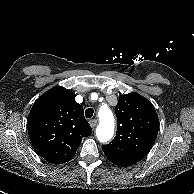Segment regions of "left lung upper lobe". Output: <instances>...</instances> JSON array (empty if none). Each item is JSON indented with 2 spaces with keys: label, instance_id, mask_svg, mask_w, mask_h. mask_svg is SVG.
I'll list each match as a JSON object with an SVG mask.
<instances>
[{
  "label": "left lung upper lobe",
  "instance_id": "obj_1",
  "mask_svg": "<svg viewBox=\"0 0 194 194\" xmlns=\"http://www.w3.org/2000/svg\"><path fill=\"white\" fill-rule=\"evenodd\" d=\"M115 112L116 136L111 143L102 145V149L113 164L126 167L142 160L151 150L159 119L154 106L137 93L121 96Z\"/></svg>",
  "mask_w": 194,
  "mask_h": 194
}]
</instances>
